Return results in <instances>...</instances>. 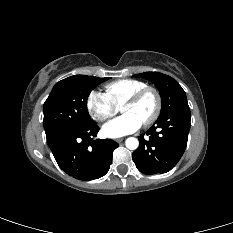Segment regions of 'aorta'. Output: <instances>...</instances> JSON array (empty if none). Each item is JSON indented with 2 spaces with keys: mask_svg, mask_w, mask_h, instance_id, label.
<instances>
[{
  "mask_svg": "<svg viewBox=\"0 0 233 233\" xmlns=\"http://www.w3.org/2000/svg\"><path fill=\"white\" fill-rule=\"evenodd\" d=\"M125 145L130 150H136L139 146V141L135 137H129L126 139Z\"/></svg>",
  "mask_w": 233,
  "mask_h": 233,
  "instance_id": "obj_1",
  "label": "aorta"
}]
</instances>
